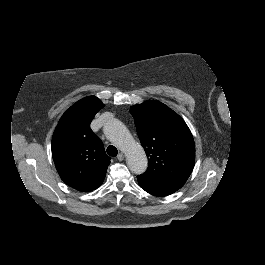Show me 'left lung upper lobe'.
I'll return each mask as SVG.
<instances>
[{"mask_svg": "<svg viewBox=\"0 0 265 265\" xmlns=\"http://www.w3.org/2000/svg\"><path fill=\"white\" fill-rule=\"evenodd\" d=\"M130 112L149 158L147 171L138 177L159 186L180 189L195 163L190 129L177 113L159 101L134 105Z\"/></svg>", "mask_w": 265, "mask_h": 265, "instance_id": "left-lung-upper-lobe-1", "label": "left lung upper lobe"}]
</instances>
